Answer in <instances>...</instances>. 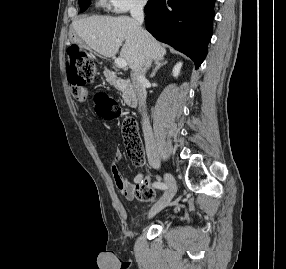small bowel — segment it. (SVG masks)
I'll list each match as a JSON object with an SVG mask.
<instances>
[{"instance_id": "obj_1", "label": "small bowel", "mask_w": 286, "mask_h": 269, "mask_svg": "<svg viewBox=\"0 0 286 269\" xmlns=\"http://www.w3.org/2000/svg\"><path fill=\"white\" fill-rule=\"evenodd\" d=\"M74 98L77 100H83L85 98V90L83 88L78 89L77 94L73 95ZM113 162L111 164L110 170L115 182V185L117 189L120 191V193L127 199L133 200L135 198L134 195V188L135 184L140 182L145 178V175L143 173H139L136 175L134 179V183L129 182L122 174L120 170V162L122 159V155L118 149H115L113 154Z\"/></svg>"}]
</instances>
